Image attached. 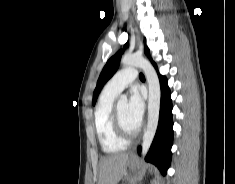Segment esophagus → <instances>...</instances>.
Returning <instances> with one entry per match:
<instances>
[{"mask_svg": "<svg viewBox=\"0 0 235 184\" xmlns=\"http://www.w3.org/2000/svg\"><path fill=\"white\" fill-rule=\"evenodd\" d=\"M131 22H132V24H133L134 33H135V36H136V42H137V44H139V33H138L137 27L134 25L133 18H131Z\"/></svg>", "mask_w": 235, "mask_h": 184, "instance_id": "34e87169", "label": "esophagus"}]
</instances>
